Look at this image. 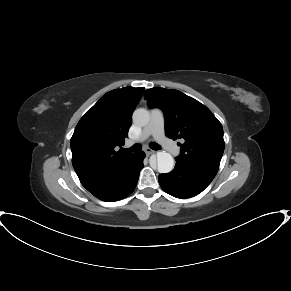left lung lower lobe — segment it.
<instances>
[{
  "label": "left lung lower lobe",
  "instance_id": "left-lung-lower-lobe-1",
  "mask_svg": "<svg viewBox=\"0 0 291 291\" xmlns=\"http://www.w3.org/2000/svg\"><path fill=\"white\" fill-rule=\"evenodd\" d=\"M175 169L158 177L161 188L180 199L202 192L213 180L218 170L176 159Z\"/></svg>",
  "mask_w": 291,
  "mask_h": 291
}]
</instances>
